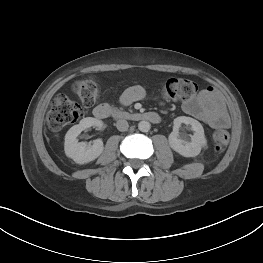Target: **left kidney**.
Returning <instances> with one entry per match:
<instances>
[{
    "label": "left kidney",
    "mask_w": 263,
    "mask_h": 263,
    "mask_svg": "<svg viewBox=\"0 0 263 263\" xmlns=\"http://www.w3.org/2000/svg\"><path fill=\"white\" fill-rule=\"evenodd\" d=\"M182 123L190 125L194 131L190 142L184 140L180 135L179 128ZM173 124V131L168 138L171 148L184 157L197 156L207 144L201 123L191 117L180 116L174 119Z\"/></svg>",
    "instance_id": "obj_1"
}]
</instances>
